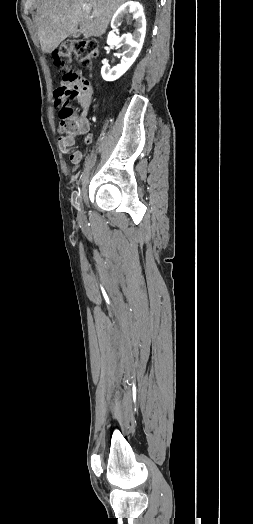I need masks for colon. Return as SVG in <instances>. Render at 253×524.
<instances>
[{"label":"colon","instance_id":"colon-1","mask_svg":"<svg viewBox=\"0 0 253 524\" xmlns=\"http://www.w3.org/2000/svg\"><path fill=\"white\" fill-rule=\"evenodd\" d=\"M98 55V43L85 38H70L64 41L54 53L55 66L63 73L60 86L64 95L59 105L58 130L72 144L73 133L80 132L79 122L74 103L77 97H85L93 93V81L81 71L73 69V62L77 60L83 67H89L94 57ZM89 143L90 138L85 137Z\"/></svg>","mask_w":253,"mask_h":524}]
</instances>
